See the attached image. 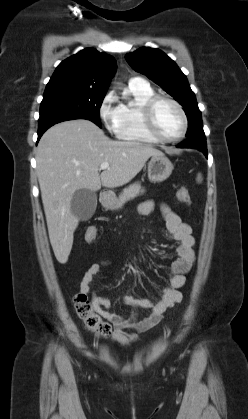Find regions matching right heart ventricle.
I'll use <instances>...</instances> for the list:
<instances>
[{"instance_id":"1","label":"right heart ventricle","mask_w":248,"mask_h":419,"mask_svg":"<svg viewBox=\"0 0 248 419\" xmlns=\"http://www.w3.org/2000/svg\"><path fill=\"white\" fill-rule=\"evenodd\" d=\"M153 95L154 91L148 84L144 86L128 84L126 88L127 99L119 104L120 124L117 136L120 139L140 143L157 142L146 133L141 118L143 104Z\"/></svg>"}]
</instances>
